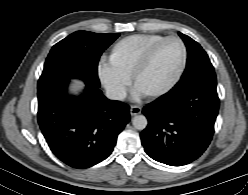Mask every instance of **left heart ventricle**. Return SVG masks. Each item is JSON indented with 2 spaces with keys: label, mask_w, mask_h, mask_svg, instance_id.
Segmentation results:
<instances>
[{
  "label": "left heart ventricle",
  "mask_w": 248,
  "mask_h": 195,
  "mask_svg": "<svg viewBox=\"0 0 248 195\" xmlns=\"http://www.w3.org/2000/svg\"><path fill=\"white\" fill-rule=\"evenodd\" d=\"M183 49L179 41L170 40L158 51L150 68L141 76L138 88L141 92L162 89L176 75L182 62Z\"/></svg>",
  "instance_id": "1"
}]
</instances>
